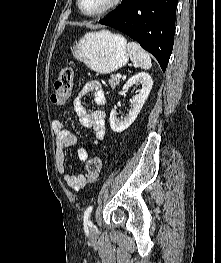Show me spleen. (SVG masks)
<instances>
[{"mask_svg":"<svg viewBox=\"0 0 221 263\" xmlns=\"http://www.w3.org/2000/svg\"><path fill=\"white\" fill-rule=\"evenodd\" d=\"M130 60L139 68L148 70L152 66L150 55L136 42L127 44Z\"/></svg>","mask_w":221,"mask_h":263,"instance_id":"3e777b00","label":"spleen"}]
</instances>
